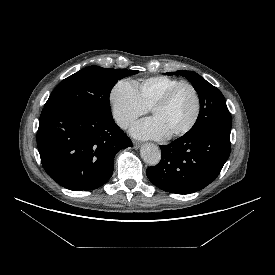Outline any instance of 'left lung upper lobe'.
<instances>
[{"label": "left lung upper lobe", "mask_w": 275, "mask_h": 275, "mask_svg": "<svg viewBox=\"0 0 275 275\" xmlns=\"http://www.w3.org/2000/svg\"><path fill=\"white\" fill-rule=\"evenodd\" d=\"M186 77L197 91L200 100V113L193 127L187 132L207 129H231V114L219 89L193 71L169 72Z\"/></svg>", "instance_id": "5c2ea615"}]
</instances>
